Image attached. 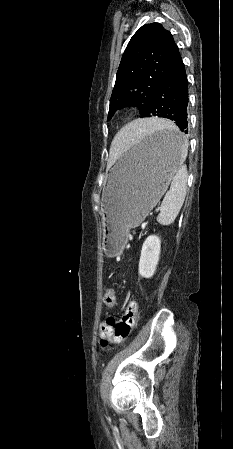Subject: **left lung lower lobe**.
<instances>
[{
  "label": "left lung lower lobe",
  "instance_id": "left-lung-lower-lobe-1",
  "mask_svg": "<svg viewBox=\"0 0 233 449\" xmlns=\"http://www.w3.org/2000/svg\"><path fill=\"white\" fill-rule=\"evenodd\" d=\"M188 80L182 59L166 75L153 94L144 117L158 116L172 120L182 132L188 133ZM157 139L169 146L182 144L184 137L161 134Z\"/></svg>",
  "mask_w": 233,
  "mask_h": 449
}]
</instances>
